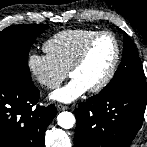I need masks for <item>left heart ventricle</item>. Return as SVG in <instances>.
Masks as SVG:
<instances>
[{"label":"left heart ventricle","instance_id":"b2bd125f","mask_svg":"<svg viewBox=\"0 0 147 147\" xmlns=\"http://www.w3.org/2000/svg\"><path fill=\"white\" fill-rule=\"evenodd\" d=\"M115 56V45L111 37L102 36L91 47L85 62L71 77L83 82L88 89L97 85L107 74Z\"/></svg>","mask_w":147,"mask_h":147}]
</instances>
